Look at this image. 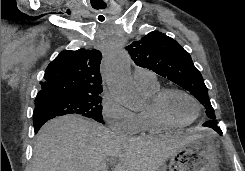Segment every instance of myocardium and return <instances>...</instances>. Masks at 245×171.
Instances as JSON below:
<instances>
[{
  "instance_id": "obj_1",
  "label": "myocardium",
  "mask_w": 245,
  "mask_h": 171,
  "mask_svg": "<svg viewBox=\"0 0 245 171\" xmlns=\"http://www.w3.org/2000/svg\"><path fill=\"white\" fill-rule=\"evenodd\" d=\"M171 93H179L187 97L194 105L196 109V114L192 120L186 123H176L172 121L166 114L164 103L167 98V96ZM148 109L150 113L152 114L153 118L161 125H163L166 128L170 129H180L185 128L197 121V119L200 116L201 108L196 100V98L188 93L187 91L177 88V87H167L160 89L157 93H155L151 98L148 105Z\"/></svg>"
}]
</instances>
